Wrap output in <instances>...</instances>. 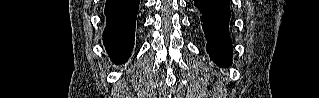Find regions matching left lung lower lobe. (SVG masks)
<instances>
[{
    "label": "left lung lower lobe",
    "mask_w": 319,
    "mask_h": 98,
    "mask_svg": "<svg viewBox=\"0 0 319 98\" xmlns=\"http://www.w3.org/2000/svg\"><path fill=\"white\" fill-rule=\"evenodd\" d=\"M229 4V0H194L207 38V52L216 64L225 68L230 65L232 56Z\"/></svg>",
    "instance_id": "left-lung-lower-lobe-1"
}]
</instances>
